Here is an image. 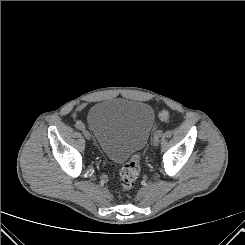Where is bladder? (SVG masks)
<instances>
[{
    "label": "bladder",
    "instance_id": "bladder-1",
    "mask_svg": "<svg viewBox=\"0 0 245 245\" xmlns=\"http://www.w3.org/2000/svg\"><path fill=\"white\" fill-rule=\"evenodd\" d=\"M154 119L150 105L121 98L101 101L87 113L99 149L114 162L126 160L146 145Z\"/></svg>",
    "mask_w": 245,
    "mask_h": 245
}]
</instances>
